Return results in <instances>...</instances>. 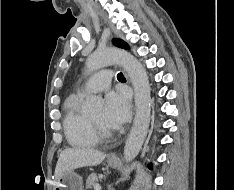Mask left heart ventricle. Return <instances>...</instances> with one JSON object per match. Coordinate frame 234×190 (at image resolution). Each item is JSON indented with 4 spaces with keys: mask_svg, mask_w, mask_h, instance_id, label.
<instances>
[{
    "mask_svg": "<svg viewBox=\"0 0 234 190\" xmlns=\"http://www.w3.org/2000/svg\"><path fill=\"white\" fill-rule=\"evenodd\" d=\"M91 117L94 120H96V121H98V122H100V123H102V124H104L105 126L108 127V125L106 124V122L104 120V111H103V109L98 110L96 113L91 115Z\"/></svg>",
    "mask_w": 234,
    "mask_h": 190,
    "instance_id": "obj_1",
    "label": "left heart ventricle"
}]
</instances>
